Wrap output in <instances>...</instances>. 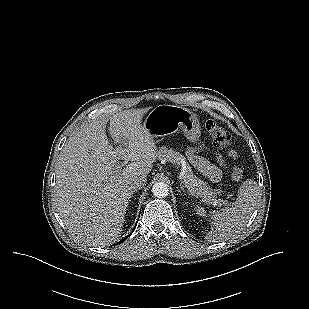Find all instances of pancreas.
<instances>
[{"mask_svg": "<svg viewBox=\"0 0 309 309\" xmlns=\"http://www.w3.org/2000/svg\"><path fill=\"white\" fill-rule=\"evenodd\" d=\"M158 158L167 160L171 163L180 164V160L183 158L182 155L174 151L173 149H168L163 146L158 150ZM184 181L189 186V188L194 191V194L202 197L203 200L208 204H214L217 200V195L221 194L219 190H213L208 186L206 182L196 177L190 166L187 165L184 174Z\"/></svg>", "mask_w": 309, "mask_h": 309, "instance_id": "cf45deb5", "label": "pancreas"}]
</instances>
